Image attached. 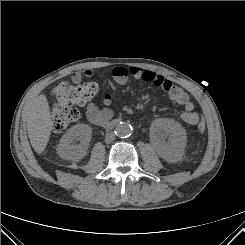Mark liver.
<instances>
[{"label":"liver","instance_id":"6515ba94","mask_svg":"<svg viewBox=\"0 0 245 245\" xmlns=\"http://www.w3.org/2000/svg\"><path fill=\"white\" fill-rule=\"evenodd\" d=\"M27 115V132L33 149L41 154L47 146L53 121L49 104L44 94L39 95L29 106Z\"/></svg>","mask_w":245,"mask_h":245}]
</instances>
